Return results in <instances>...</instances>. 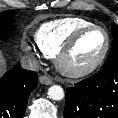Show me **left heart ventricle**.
<instances>
[{
	"label": "left heart ventricle",
	"mask_w": 118,
	"mask_h": 118,
	"mask_svg": "<svg viewBox=\"0 0 118 118\" xmlns=\"http://www.w3.org/2000/svg\"><path fill=\"white\" fill-rule=\"evenodd\" d=\"M106 38L102 31L93 30L85 34L66 60V65L80 69L91 65L102 54Z\"/></svg>",
	"instance_id": "left-heart-ventricle-1"
}]
</instances>
